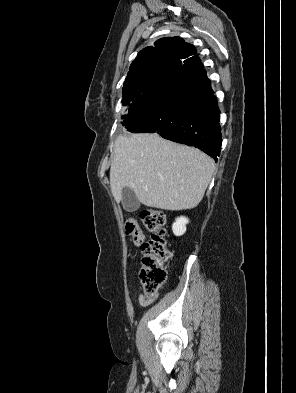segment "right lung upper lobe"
<instances>
[{"instance_id":"1","label":"right lung upper lobe","mask_w":296,"mask_h":393,"mask_svg":"<svg viewBox=\"0 0 296 393\" xmlns=\"http://www.w3.org/2000/svg\"><path fill=\"white\" fill-rule=\"evenodd\" d=\"M200 61L194 47L178 37H167L141 50L124 81L123 100L137 96L155 78H168L180 67Z\"/></svg>"}]
</instances>
